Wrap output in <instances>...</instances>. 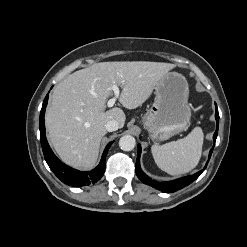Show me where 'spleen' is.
<instances>
[{
  "instance_id": "obj_1",
  "label": "spleen",
  "mask_w": 247,
  "mask_h": 247,
  "mask_svg": "<svg viewBox=\"0 0 247 247\" xmlns=\"http://www.w3.org/2000/svg\"><path fill=\"white\" fill-rule=\"evenodd\" d=\"M204 134L195 127L186 137L151 148L157 166L170 175H180L194 169L201 158Z\"/></svg>"
}]
</instances>
